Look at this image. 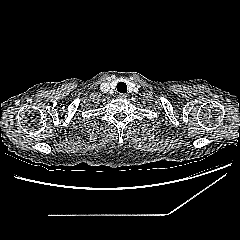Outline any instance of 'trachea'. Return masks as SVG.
<instances>
[{
	"label": "trachea",
	"mask_w": 240,
	"mask_h": 240,
	"mask_svg": "<svg viewBox=\"0 0 240 240\" xmlns=\"http://www.w3.org/2000/svg\"><path fill=\"white\" fill-rule=\"evenodd\" d=\"M117 90L120 93H126L127 92V85L124 82H119L117 84Z\"/></svg>",
	"instance_id": "trachea-1"
}]
</instances>
